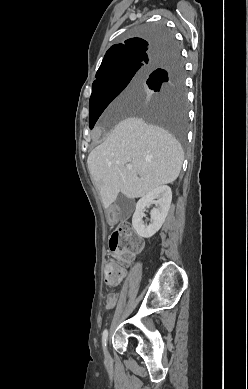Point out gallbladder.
<instances>
[{"label": "gallbladder", "instance_id": "obj_1", "mask_svg": "<svg viewBox=\"0 0 248 389\" xmlns=\"http://www.w3.org/2000/svg\"><path fill=\"white\" fill-rule=\"evenodd\" d=\"M116 204L121 207L122 209V217L127 215L132 202L126 198L123 194H119L117 199H116Z\"/></svg>", "mask_w": 248, "mask_h": 389}]
</instances>
